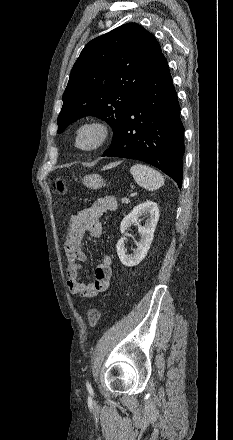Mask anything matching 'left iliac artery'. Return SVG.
Wrapping results in <instances>:
<instances>
[{"label":"left iliac artery","mask_w":233,"mask_h":440,"mask_svg":"<svg viewBox=\"0 0 233 440\" xmlns=\"http://www.w3.org/2000/svg\"><path fill=\"white\" fill-rule=\"evenodd\" d=\"M86 386L89 390L91 389V385L89 384V382L86 383Z\"/></svg>","instance_id":"left-iliac-artery-1"}]
</instances>
